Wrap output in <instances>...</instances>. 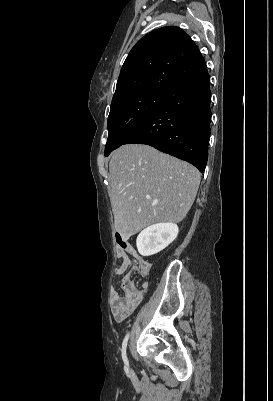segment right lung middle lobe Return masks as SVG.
Here are the masks:
<instances>
[{
    "mask_svg": "<svg viewBox=\"0 0 273 401\" xmlns=\"http://www.w3.org/2000/svg\"><path fill=\"white\" fill-rule=\"evenodd\" d=\"M166 93L143 91L112 101L108 116L105 156L123 145L131 133L156 109Z\"/></svg>",
    "mask_w": 273,
    "mask_h": 401,
    "instance_id": "right-lung-middle-lobe-1",
    "label": "right lung middle lobe"
}]
</instances>
